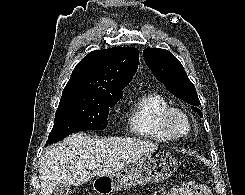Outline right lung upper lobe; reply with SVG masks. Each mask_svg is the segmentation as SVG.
I'll return each mask as SVG.
<instances>
[{
	"label": "right lung upper lobe",
	"mask_w": 245,
	"mask_h": 195,
	"mask_svg": "<svg viewBox=\"0 0 245 195\" xmlns=\"http://www.w3.org/2000/svg\"><path fill=\"white\" fill-rule=\"evenodd\" d=\"M139 53L135 47H114L90 52L74 68L62 94L96 93L121 97L136 73Z\"/></svg>",
	"instance_id": "right-lung-upper-lobe-1"
}]
</instances>
